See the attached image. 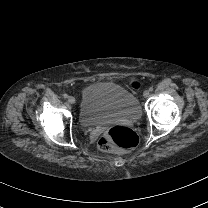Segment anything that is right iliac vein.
Instances as JSON below:
<instances>
[{"mask_svg": "<svg viewBox=\"0 0 208 208\" xmlns=\"http://www.w3.org/2000/svg\"><path fill=\"white\" fill-rule=\"evenodd\" d=\"M68 102H69L70 104H74V103H75V98L72 97V96H70V97L68 98Z\"/></svg>", "mask_w": 208, "mask_h": 208, "instance_id": "right-iliac-vein-1", "label": "right iliac vein"}]
</instances>
